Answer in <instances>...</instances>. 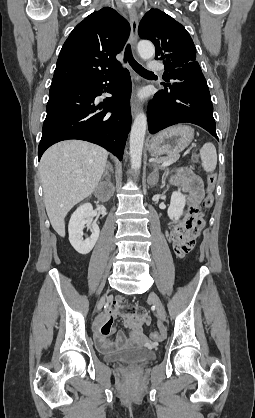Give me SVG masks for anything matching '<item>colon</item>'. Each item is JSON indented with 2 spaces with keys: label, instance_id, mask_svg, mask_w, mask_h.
Returning <instances> with one entry per match:
<instances>
[{
  "label": "colon",
  "instance_id": "1",
  "mask_svg": "<svg viewBox=\"0 0 255 418\" xmlns=\"http://www.w3.org/2000/svg\"><path fill=\"white\" fill-rule=\"evenodd\" d=\"M216 184V175L211 174L207 178V186H206V195L202 202V207L196 205L191 206L188 212L187 217L183 222L178 224L175 228H198L199 233L204 226V219H203V209H210L213 205V190ZM192 249H190L191 251ZM162 338V335L159 332H153L151 334L152 342H156Z\"/></svg>",
  "mask_w": 255,
  "mask_h": 418
}]
</instances>
